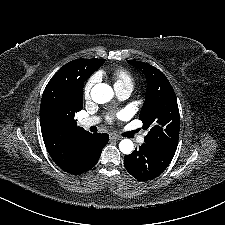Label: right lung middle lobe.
I'll return each mask as SVG.
<instances>
[{
	"instance_id": "1",
	"label": "right lung middle lobe",
	"mask_w": 225,
	"mask_h": 225,
	"mask_svg": "<svg viewBox=\"0 0 225 225\" xmlns=\"http://www.w3.org/2000/svg\"><path fill=\"white\" fill-rule=\"evenodd\" d=\"M105 62V59H100L99 62H98V68L101 67ZM86 78L80 76H76L71 82H70V85H69V88L72 92H75V91H83V86H84V82H85Z\"/></svg>"
}]
</instances>
